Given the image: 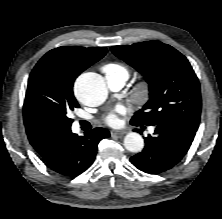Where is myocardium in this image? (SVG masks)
<instances>
[{
	"instance_id": "f54148a6",
	"label": "myocardium",
	"mask_w": 222,
	"mask_h": 219,
	"mask_svg": "<svg viewBox=\"0 0 222 219\" xmlns=\"http://www.w3.org/2000/svg\"><path fill=\"white\" fill-rule=\"evenodd\" d=\"M150 92V83L147 80H142L136 85L133 97L138 102H145L148 100Z\"/></svg>"
}]
</instances>
